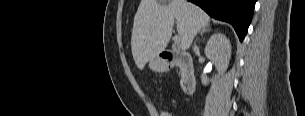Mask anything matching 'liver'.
Segmentation results:
<instances>
[{"label": "liver", "instance_id": "obj_1", "mask_svg": "<svg viewBox=\"0 0 305 116\" xmlns=\"http://www.w3.org/2000/svg\"><path fill=\"white\" fill-rule=\"evenodd\" d=\"M175 20L182 50H187L197 32L210 24V17L187 0H141L131 37L133 59L140 70L165 50Z\"/></svg>", "mask_w": 305, "mask_h": 116}]
</instances>
